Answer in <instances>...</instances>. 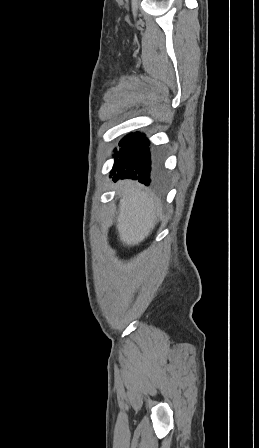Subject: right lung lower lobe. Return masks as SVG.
<instances>
[{
  "instance_id": "right-lung-lower-lobe-1",
  "label": "right lung lower lobe",
  "mask_w": 259,
  "mask_h": 448,
  "mask_svg": "<svg viewBox=\"0 0 259 448\" xmlns=\"http://www.w3.org/2000/svg\"><path fill=\"white\" fill-rule=\"evenodd\" d=\"M149 145L143 133L135 132L125 136L119 143V151L114 150L115 162L110 177L113 175L114 181L128 178L149 185L152 170Z\"/></svg>"
}]
</instances>
